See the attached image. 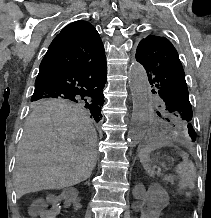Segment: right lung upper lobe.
Wrapping results in <instances>:
<instances>
[{"mask_svg": "<svg viewBox=\"0 0 211 218\" xmlns=\"http://www.w3.org/2000/svg\"><path fill=\"white\" fill-rule=\"evenodd\" d=\"M104 57V46L96 29L86 21H75L62 29L50 44L35 84Z\"/></svg>", "mask_w": 211, "mask_h": 218, "instance_id": "right-lung-upper-lobe-1", "label": "right lung upper lobe"}]
</instances>
